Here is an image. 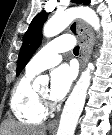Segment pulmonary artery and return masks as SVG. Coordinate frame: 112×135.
I'll return each mask as SVG.
<instances>
[{
  "instance_id": "e3ab8cb5",
  "label": "pulmonary artery",
  "mask_w": 112,
  "mask_h": 135,
  "mask_svg": "<svg viewBox=\"0 0 112 135\" xmlns=\"http://www.w3.org/2000/svg\"><path fill=\"white\" fill-rule=\"evenodd\" d=\"M75 41L71 35H62L45 44L31 59L26 71L33 74L51 68L61 61V53L73 48Z\"/></svg>"
}]
</instances>
